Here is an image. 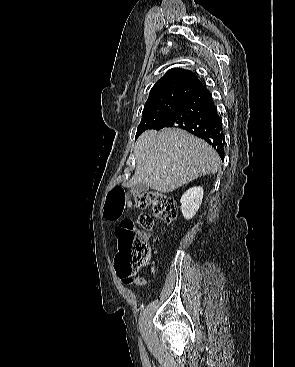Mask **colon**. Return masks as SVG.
I'll return each mask as SVG.
<instances>
[{
    "mask_svg": "<svg viewBox=\"0 0 295 367\" xmlns=\"http://www.w3.org/2000/svg\"><path fill=\"white\" fill-rule=\"evenodd\" d=\"M151 207L156 218L171 222L177 216L176 201L169 195L147 191L129 196L122 187H114L108 195L105 217L119 219L127 207ZM153 219L147 214L138 217L136 225L129 219L123 220L116 229L117 253L115 256L116 272L127 277L145 267L151 258V249L147 238L140 230H149ZM138 227V228H137Z\"/></svg>",
    "mask_w": 295,
    "mask_h": 367,
    "instance_id": "5ec220e1",
    "label": "colon"
}]
</instances>
